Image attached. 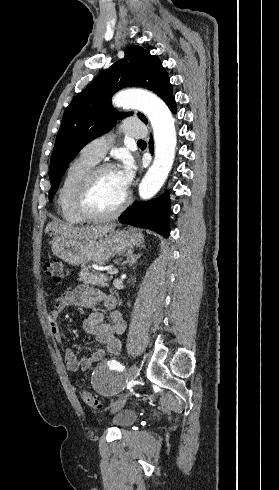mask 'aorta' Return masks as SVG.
<instances>
[{
	"instance_id": "1",
	"label": "aorta",
	"mask_w": 279,
	"mask_h": 490,
	"mask_svg": "<svg viewBox=\"0 0 279 490\" xmlns=\"http://www.w3.org/2000/svg\"><path fill=\"white\" fill-rule=\"evenodd\" d=\"M113 104L141 111L153 128L155 157L139 185V196L143 200L150 199L163 186L174 162L177 144L174 118L167 105L147 91L119 92L113 97Z\"/></svg>"
}]
</instances>
